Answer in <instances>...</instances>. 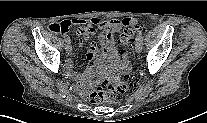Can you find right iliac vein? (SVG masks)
Segmentation results:
<instances>
[{"mask_svg":"<svg viewBox=\"0 0 207 123\" xmlns=\"http://www.w3.org/2000/svg\"><path fill=\"white\" fill-rule=\"evenodd\" d=\"M65 49L67 53H70L72 51V46L70 42H66Z\"/></svg>","mask_w":207,"mask_h":123,"instance_id":"obj_1","label":"right iliac vein"}]
</instances>
